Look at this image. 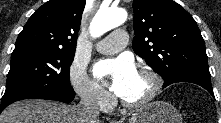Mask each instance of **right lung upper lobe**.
Masks as SVG:
<instances>
[{
	"mask_svg": "<svg viewBox=\"0 0 221 123\" xmlns=\"http://www.w3.org/2000/svg\"><path fill=\"white\" fill-rule=\"evenodd\" d=\"M86 0H50L29 18L14 51L45 49L75 52Z\"/></svg>",
	"mask_w": 221,
	"mask_h": 123,
	"instance_id": "1",
	"label": "right lung upper lobe"
}]
</instances>
